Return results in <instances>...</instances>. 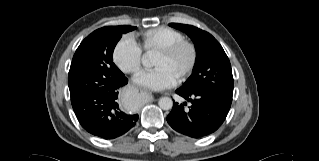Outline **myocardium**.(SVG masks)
I'll return each mask as SVG.
<instances>
[{
	"label": "myocardium",
	"mask_w": 319,
	"mask_h": 161,
	"mask_svg": "<svg viewBox=\"0 0 319 161\" xmlns=\"http://www.w3.org/2000/svg\"><path fill=\"white\" fill-rule=\"evenodd\" d=\"M183 48L189 50L190 56H189V61L187 65L185 66L183 71L179 74V76L176 78L177 80H183L184 78L189 76L191 72L193 71L198 59V52H197L196 45L190 40L180 39L175 42L164 45L163 47H161L159 50L155 52L157 55L161 57L168 58L173 56L174 54H176L179 50Z\"/></svg>",
	"instance_id": "1"
}]
</instances>
